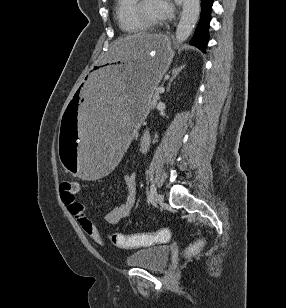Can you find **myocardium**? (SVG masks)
Here are the masks:
<instances>
[{"label":"myocardium","mask_w":286,"mask_h":308,"mask_svg":"<svg viewBox=\"0 0 286 308\" xmlns=\"http://www.w3.org/2000/svg\"><path fill=\"white\" fill-rule=\"evenodd\" d=\"M145 0H136L133 5L132 12L135 19L145 28V29H155L163 25L164 21H150L144 17L142 14V5Z\"/></svg>","instance_id":"myocardium-1"}]
</instances>
